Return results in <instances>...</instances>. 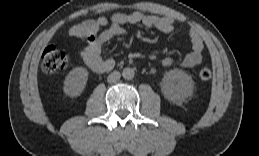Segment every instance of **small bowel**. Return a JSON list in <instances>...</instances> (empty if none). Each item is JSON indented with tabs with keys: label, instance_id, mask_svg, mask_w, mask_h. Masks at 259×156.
<instances>
[{
	"label": "small bowel",
	"instance_id": "small-bowel-1",
	"mask_svg": "<svg viewBox=\"0 0 259 156\" xmlns=\"http://www.w3.org/2000/svg\"><path fill=\"white\" fill-rule=\"evenodd\" d=\"M138 23L163 33H172L177 29L176 20L170 16L148 15L140 11L117 12L109 18L102 16L76 24L70 29V36L76 41L78 54L86 65L95 72L103 73L113 68L114 61L101 56L102 45L114 37L124 36L123 25ZM104 27L106 28L103 29ZM189 39L191 51L180 63L184 68L199 65L204 51L202 38L195 29H190ZM160 63L164 67H169L173 60L170 57H165Z\"/></svg>",
	"mask_w": 259,
	"mask_h": 156
}]
</instances>
